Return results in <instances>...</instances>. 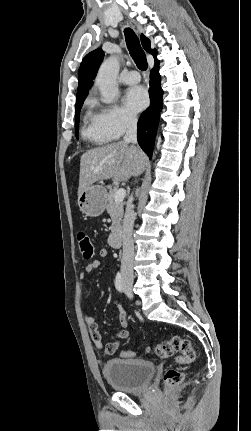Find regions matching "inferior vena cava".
I'll list each match as a JSON object with an SVG mask.
<instances>
[{
	"label": "inferior vena cava",
	"mask_w": 251,
	"mask_h": 431,
	"mask_svg": "<svg viewBox=\"0 0 251 431\" xmlns=\"http://www.w3.org/2000/svg\"><path fill=\"white\" fill-rule=\"evenodd\" d=\"M125 143H137V118L135 115H129L126 123V133L124 136ZM137 174L136 176H138ZM135 213L133 206L129 204L126 208L123 220V255L121 260V273L124 280H133V260H134V242L132 238Z\"/></svg>",
	"instance_id": "obj_1"
}]
</instances>
